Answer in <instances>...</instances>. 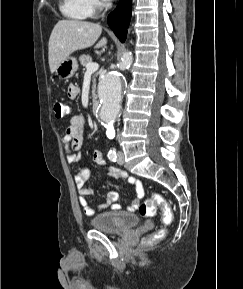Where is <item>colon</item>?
I'll return each mask as SVG.
<instances>
[{
  "instance_id": "colon-1",
  "label": "colon",
  "mask_w": 243,
  "mask_h": 289,
  "mask_svg": "<svg viewBox=\"0 0 243 289\" xmlns=\"http://www.w3.org/2000/svg\"><path fill=\"white\" fill-rule=\"evenodd\" d=\"M53 109L57 118H63L67 114V106L61 100L54 102ZM157 207H160L162 210L164 225L170 224L173 216L172 209L165 198L159 193H154L150 198L139 204L138 210L142 216L151 217L154 216ZM165 233L166 230L162 228L146 237L144 243L146 245L152 244L161 239Z\"/></svg>"
}]
</instances>
